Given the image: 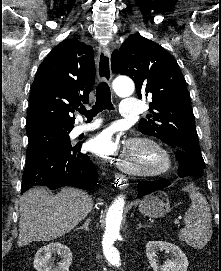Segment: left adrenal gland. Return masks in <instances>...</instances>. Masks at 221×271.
<instances>
[{"mask_svg":"<svg viewBox=\"0 0 221 271\" xmlns=\"http://www.w3.org/2000/svg\"><path fill=\"white\" fill-rule=\"evenodd\" d=\"M139 227H145V225H142V223H141V221H140V223H138L137 229H139Z\"/></svg>","mask_w":221,"mask_h":271,"instance_id":"a2214340","label":"left adrenal gland"}]
</instances>
